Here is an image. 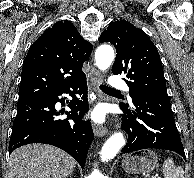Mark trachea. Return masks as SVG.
Here are the masks:
<instances>
[{
  "label": "trachea",
  "mask_w": 194,
  "mask_h": 178,
  "mask_svg": "<svg viewBox=\"0 0 194 178\" xmlns=\"http://www.w3.org/2000/svg\"><path fill=\"white\" fill-rule=\"evenodd\" d=\"M100 89L104 92H118V90H115L105 85H100Z\"/></svg>",
  "instance_id": "3493384b"
}]
</instances>
